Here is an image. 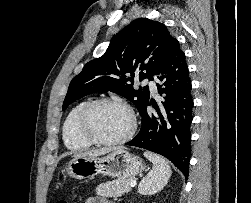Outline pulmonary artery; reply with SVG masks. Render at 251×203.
Wrapping results in <instances>:
<instances>
[{
    "mask_svg": "<svg viewBox=\"0 0 251 203\" xmlns=\"http://www.w3.org/2000/svg\"><path fill=\"white\" fill-rule=\"evenodd\" d=\"M144 84L148 85L150 87V90L153 92V93H157V87H156V84L155 82L150 79V78H146L144 80Z\"/></svg>",
    "mask_w": 251,
    "mask_h": 203,
    "instance_id": "pulmonary-artery-1",
    "label": "pulmonary artery"
}]
</instances>
